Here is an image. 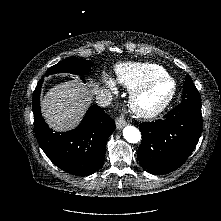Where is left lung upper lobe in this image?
<instances>
[{
    "label": "left lung upper lobe",
    "mask_w": 221,
    "mask_h": 221,
    "mask_svg": "<svg viewBox=\"0 0 221 221\" xmlns=\"http://www.w3.org/2000/svg\"><path fill=\"white\" fill-rule=\"evenodd\" d=\"M182 103L201 105L200 94L189 75L185 79Z\"/></svg>",
    "instance_id": "1"
}]
</instances>
